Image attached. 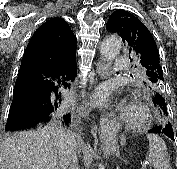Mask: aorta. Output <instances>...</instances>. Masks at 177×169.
<instances>
[{"label":"aorta","instance_id":"1","mask_svg":"<svg viewBox=\"0 0 177 169\" xmlns=\"http://www.w3.org/2000/svg\"><path fill=\"white\" fill-rule=\"evenodd\" d=\"M121 50V41L117 37L111 36L106 38L100 47V53L104 59H115Z\"/></svg>","mask_w":177,"mask_h":169}]
</instances>
